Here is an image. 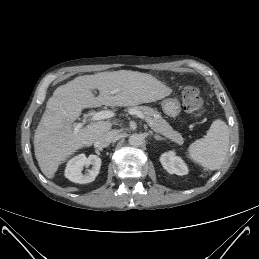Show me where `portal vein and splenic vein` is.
Instances as JSON below:
<instances>
[{"mask_svg":"<svg viewBox=\"0 0 259 259\" xmlns=\"http://www.w3.org/2000/svg\"><path fill=\"white\" fill-rule=\"evenodd\" d=\"M115 93L112 92V94ZM131 115H136L137 117L141 118V119H145V116L140 112V111H135V110H131L129 112ZM114 112L111 110H103L100 112H96L92 115V117L90 118V121H97V120H102V119H109L114 117ZM83 126V123H77L76 125H74V133H77Z\"/></svg>","mask_w":259,"mask_h":259,"instance_id":"portal-vein-and-splenic-vein-1","label":"portal vein and splenic vein"}]
</instances>
